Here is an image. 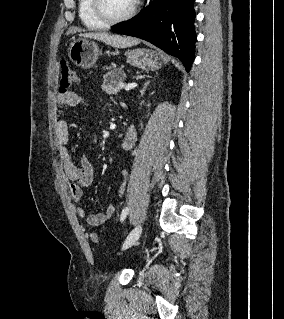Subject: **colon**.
<instances>
[{
	"label": "colon",
	"mask_w": 284,
	"mask_h": 319,
	"mask_svg": "<svg viewBox=\"0 0 284 319\" xmlns=\"http://www.w3.org/2000/svg\"><path fill=\"white\" fill-rule=\"evenodd\" d=\"M78 82L76 72L68 66L66 62L60 64V83L59 90L61 94L69 92V90ZM91 240L94 243H99V237L96 233H91Z\"/></svg>",
	"instance_id": "obj_1"
}]
</instances>
